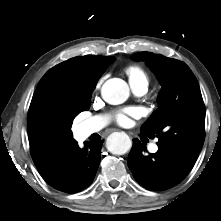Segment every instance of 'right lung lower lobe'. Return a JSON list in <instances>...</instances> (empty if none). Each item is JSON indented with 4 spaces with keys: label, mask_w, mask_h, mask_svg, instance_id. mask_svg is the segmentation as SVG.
Segmentation results:
<instances>
[{
    "label": "right lung lower lobe",
    "mask_w": 221,
    "mask_h": 221,
    "mask_svg": "<svg viewBox=\"0 0 221 221\" xmlns=\"http://www.w3.org/2000/svg\"><path fill=\"white\" fill-rule=\"evenodd\" d=\"M103 141L85 142L80 148L72 142L48 162L37 167L43 179L53 188L66 193H76L91 184L101 160Z\"/></svg>",
    "instance_id": "right-lung-lower-lobe-1"
}]
</instances>
